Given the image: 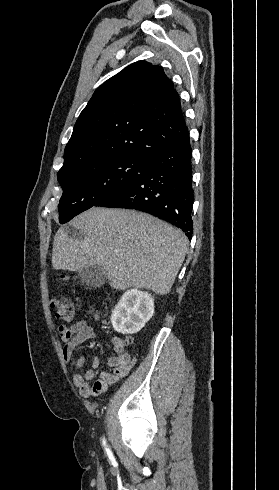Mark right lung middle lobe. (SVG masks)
Instances as JSON below:
<instances>
[{
    "label": "right lung middle lobe",
    "mask_w": 279,
    "mask_h": 490,
    "mask_svg": "<svg viewBox=\"0 0 279 490\" xmlns=\"http://www.w3.org/2000/svg\"><path fill=\"white\" fill-rule=\"evenodd\" d=\"M150 165L151 161L135 157L101 158L58 175L63 189L59 222L66 223L95 206L108 194L142 176Z\"/></svg>",
    "instance_id": "1"
}]
</instances>
